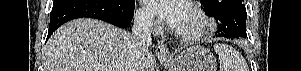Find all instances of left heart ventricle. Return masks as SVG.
<instances>
[{
    "label": "left heart ventricle",
    "mask_w": 301,
    "mask_h": 71,
    "mask_svg": "<svg viewBox=\"0 0 301 71\" xmlns=\"http://www.w3.org/2000/svg\"><path fill=\"white\" fill-rule=\"evenodd\" d=\"M196 24V20L191 14V12L186 9L184 12L183 20L179 26V30L188 29L193 27Z\"/></svg>",
    "instance_id": "b2bd125f"
}]
</instances>
